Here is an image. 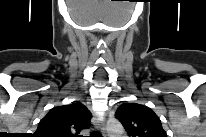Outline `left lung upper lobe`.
I'll return each mask as SVG.
<instances>
[{"label": "left lung upper lobe", "mask_w": 206, "mask_h": 137, "mask_svg": "<svg viewBox=\"0 0 206 137\" xmlns=\"http://www.w3.org/2000/svg\"><path fill=\"white\" fill-rule=\"evenodd\" d=\"M115 116L130 137H167L159 117L144 105L123 103Z\"/></svg>", "instance_id": "obj_1"}]
</instances>
